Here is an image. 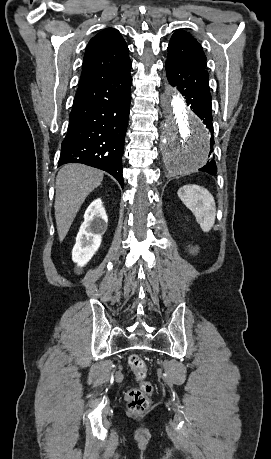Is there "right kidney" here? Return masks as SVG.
<instances>
[{"mask_svg":"<svg viewBox=\"0 0 271 459\" xmlns=\"http://www.w3.org/2000/svg\"><path fill=\"white\" fill-rule=\"evenodd\" d=\"M108 218L101 198L94 200L84 214V222L77 233L72 249V259L77 263L76 273H82L84 265L100 247L103 233L107 229Z\"/></svg>","mask_w":271,"mask_h":459,"instance_id":"1","label":"right kidney"}]
</instances>
